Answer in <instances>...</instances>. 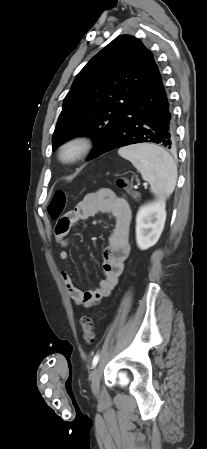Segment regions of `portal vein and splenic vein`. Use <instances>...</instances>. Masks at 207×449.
<instances>
[{
	"label": "portal vein and splenic vein",
	"instance_id": "obj_1",
	"mask_svg": "<svg viewBox=\"0 0 207 449\" xmlns=\"http://www.w3.org/2000/svg\"><path fill=\"white\" fill-rule=\"evenodd\" d=\"M144 186L146 187V186H147V183H144Z\"/></svg>",
	"mask_w": 207,
	"mask_h": 449
}]
</instances>
